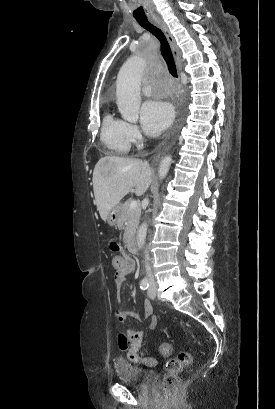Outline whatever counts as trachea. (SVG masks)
<instances>
[{"instance_id": "trachea-1", "label": "trachea", "mask_w": 275, "mask_h": 409, "mask_svg": "<svg viewBox=\"0 0 275 409\" xmlns=\"http://www.w3.org/2000/svg\"><path fill=\"white\" fill-rule=\"evenodd\" d=\"M137 22L141 25V27L145 28L148 32H151L155 37L158 38L161 44V54L168 65L169 72L173 77H177V69L174 62L173 54L171 48L169 46L168 40L165 37L164 33L160 28L155 27L152 23L149 22L148 19H141Z\"/></svg>"}]
</instances>
